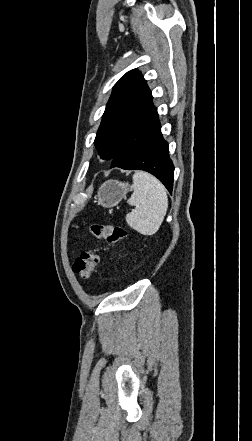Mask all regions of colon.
I'll list each match as a JSON object with an SVG mask.
<instances>
[{"instance_id": "obj_1", "label": "colon", "mask_w": 252, "mask_h": 441, "mask_svg": "<svg viewBox=\"0 0 252 441\" xmlns=\"http://www.w3.org/2000/svg\"><path fill=\"white\" fill-rule=\"evenodd\" d=\"M91 233L97 239L106 240L111 244L122 241L126 236V230L118 225L93 224ZM100 253L97 250L82 252L73 263V271L83 281H89L100 261Z\"/></svg>"}]
</instances>
